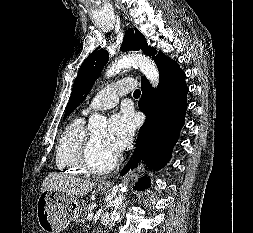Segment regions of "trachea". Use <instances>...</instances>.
Instances as JSON below:
<instances>
[{
  "label": "trachea",
  "mask_w": 253,
  "mask_h": 233,
  "mask_svg": "<svg viewBox=\"0 0 253 233\" xmlns=\"http://www.w3.org/2000/svg\"><path fill=\"white\" fill-rule=\"evenodd\" d=\"M141 92L140 90L136 89L133 93V96H140Z\"/></svg>",
  "instance_id": "obj_1"
}]
</instances>
